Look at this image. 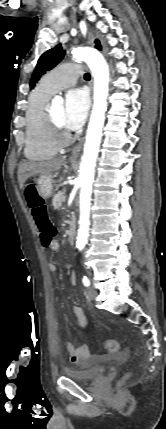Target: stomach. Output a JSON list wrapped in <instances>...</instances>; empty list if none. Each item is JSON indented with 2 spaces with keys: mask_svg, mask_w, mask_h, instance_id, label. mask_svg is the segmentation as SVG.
Listing matches in <instances>:
<instances>
[{
  "mask_svg": "<svg viewBox=\"0 0 166 429\" xmlns=\"http://www.w3.org/2000/svg\"><path fill=\"white\" fill-rule=\"evenodd\" d=\"M53 181L51 175L43 176L41 175L37 181L35 189L39 190V196L43 199H47L52 195L53 192Z\"/></svg>",
  "mask_w": 166,
  "mask_h": 429,
  "instance_id": "obj_1",
  "label": "stomach"
}]
</instances>
